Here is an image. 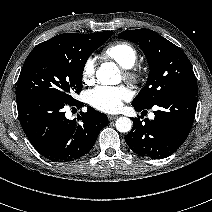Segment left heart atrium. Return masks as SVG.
<instances>
[{
	"label": "left heart atrium",
	"mask_w": 212,
	"mask_h": 212,
	"mask_svg": "<svg viewBox=\"0 0 212 212\" xmlns=\"http://www.w3.org/2000/svg\"><path fill=\"white\" fill-rule=\"evenodd\" d=\"M131 97L125 86H98L88 93V102L102 112H115Z\"/></svg>",
	"instance_id": "1"
}]
</instances>
